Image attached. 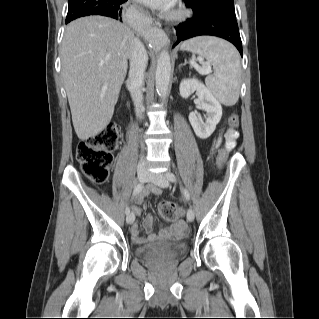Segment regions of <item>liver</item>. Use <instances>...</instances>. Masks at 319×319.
<instances>
[{
    "label": "liver",
    "instance_id": "liver-1",
    "mask_svg": "<svg viewBox=\"0 0 319 319\" xmlns=\"http://www.w3.org/2000/svg\"><path fill=\"white\" fill-rule=\"evenodd\" d=\"M134 38L129 27L104 16L69 23L61 46V72L79 139L103 131L113 116Z\"/></svg>",
    "mask_w": 319,
    "mask_h": 319
}]
</instances>
